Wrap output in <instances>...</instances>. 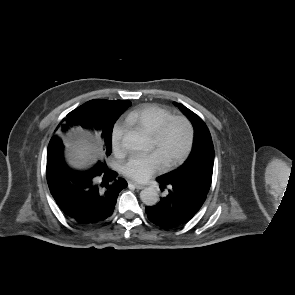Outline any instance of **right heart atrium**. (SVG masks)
Masks as SVG:
<instances>
[{"mask_svg":"<svg viewBox=\"0 0 295 295\" xmlns=\"http://www.w3.org/2000/svg\"><path fill=\"white\" fill-rule=\"evenodd\" d=\"M125 126L117 122L111 131V144L114 152L116 153H121L123 151V145H122V140L123 136L125 134Z\"/></svg>","mask_w":295,"mask_h":295,"instance_id":"d8ad5b80","label":"right heart atrium"}]
</instances>
